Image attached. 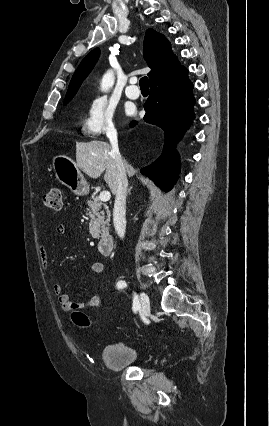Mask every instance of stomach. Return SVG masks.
Segmentation results:
<instances>
[{"label": "stomach", "instance_id": "0dacf381", "mask_svg": "<svg viewBox=\"0 0 269 426\" xmlns=\"http://www.w3.org/2000/svg\"><path fill=\"white\" fill-rule=\"evenodd\" d=\"M52 169L56 179L74 194L81 196L89 192V185L79 167L68 156L60 154L53 157Z\"/></svg>", "mask_w": 269, "mask_h": 426}]
</instances>
